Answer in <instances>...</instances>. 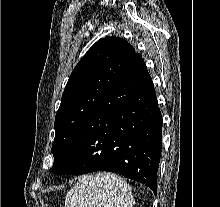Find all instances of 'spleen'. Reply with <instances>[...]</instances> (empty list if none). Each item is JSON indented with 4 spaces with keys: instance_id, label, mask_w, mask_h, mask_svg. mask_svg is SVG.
<instances>
[{
    "instance_id": "1",
    "label": "spleen",
    "mask_w": 220,
    "mask_h": 207,
    "mask_svg": "<svg viewBox=\"0 0 220 207\" xmlns=\"http://www.w3.org/2000/svg\"><path fill=\"white\" fill-rule=\"evenodd\" d=\"M65 207H134V199L123 178L99 172L79 179L67 193Z\"/></svg>"
}]
</instances>
